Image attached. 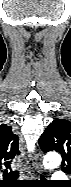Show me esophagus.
Returning a JSON list of instances; mask_svg holds the SVG:
<instances>
[{
    "instance_id": "obj_1",
    "label": "esophagus",
    "mask_w": 71,
    "mask_h": 187,
    "mask_svg": "<svg viewBox=\"0 0 71 187\" xmlns=\"http://www.w3.org/2000/svg\"><path fill=\"white\" fill-rule=\"evenodd\" d=\"M32 169H33V173H32L33 177H38V174L43 171V167L41 165V153L39 151L35 152L34 155L32 156Z\"/></svg>"
}]
</instances>
